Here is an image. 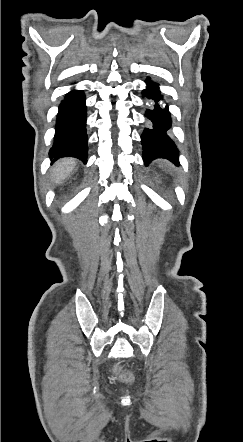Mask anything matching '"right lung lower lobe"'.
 Here are the masks:
<instances>
[{
    "label": "right lung lower lobe",
    "mask_w": 243,
    "mask_h": 442,
    "mask_svg": "<svg viewBox=\"0 0 243 442\" xmlns=\"http://www.w3.org/2000/svg\"><path fill=\"white\" fill-rule=\"evenodd\" d=\"M50 158L72 156L87 161L86 106L82 90L70 91L59 105Z\"/></svg>",
    "instance_id": "right-lung-lower-lobe-1"
}]
</instances>
